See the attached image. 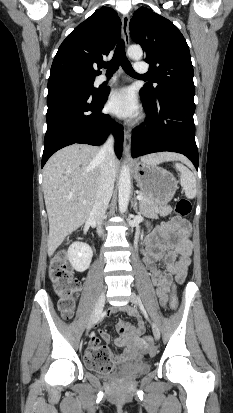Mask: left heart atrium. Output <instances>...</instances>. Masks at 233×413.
<instances>
[{
	"label": "left heart atrium",
	"mask_w": 233,
	"mask_h": 413,
	"mask_svg": "<svg viewBox=\"0 0 233 413\" xmlns=\"http://www.w3.org/2000/svg\"><path fill=\"white\" fill-rule=\"evenodd\" d=\"M108 108L112 113L126 119L136 117L140 110L136 94L130 88L114 90L109 96Z\"/></svg>",
	"instance_id": "obj_1"
}]
</instances>
